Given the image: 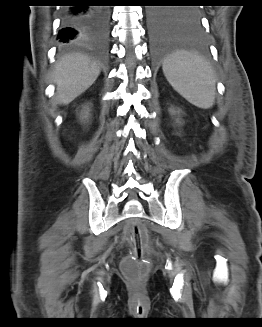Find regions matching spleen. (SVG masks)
I'll return each mask as SVG.
<instances>
[{
    "label": "spleen",
    "instance_id": "spleen-1",
    "mask_svg": "<svg viewBox=\"0 0 262 327\" xmlns=\"http://www.w3.org/2000/svg\"><path fill=\"white\" fill-rule=\"evenodd\" d=\"M171 86L193 105L207 109L215 102V75L203 58L184 51L167 57L162 66Z\"/></svg>",
    "mask_w": 262,
    "mask_h": 327
}]
</instances>
